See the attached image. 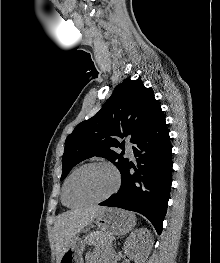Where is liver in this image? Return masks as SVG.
<instances>
[{
    "label": "liver",
    "mask_w": 220,
    "mask_h": 263,
    "mask_svg": "<svg viewBox=\"0 0 220 263\" xmlns=\"http://www.w3.org/2000/svg\"><path fill=\"white\" fill-rule=\"evenodd\" d=\"M104 209L100 206H88L65 212L57 217L53 227L57 263L60 262L73 238L91 224Z\"/></svg>",
    "instance_id": "liver-1"
}]
</instances>
